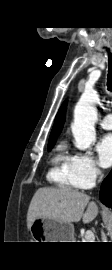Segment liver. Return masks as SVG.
I'll return each instance as SVG.
<instances>
[{
    "mask_svg": "<svg viewBox=\"0 0 112 270\" xmlns=\"http://www.w3.org/2000/svg\"><path fill=\"white\" fill-rule=\"evenodd\" d=\"M90 201V197L83 192L67 188H39L28 208L27 228L35 219L48 218L65 223L78 222L90 223L98 215L97 204ZM87 206L86 211L84 212Z\"/></svg>",
    "mask_w": 112,
    "mask_h": 270,
    "instance_id": "6515ba94",
    "label": "liver"
}]
</instances>
